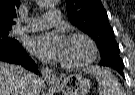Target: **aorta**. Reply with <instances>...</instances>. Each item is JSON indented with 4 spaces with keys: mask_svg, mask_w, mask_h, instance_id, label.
<instances>
[{
    "mask_svg": "<svg viewBox=\"0 0 135 95\" xmlns=\"http://www.w3.org/2000/svg\"><path fill=\"white\" fill-rule=\"evenodd\" d=\"M56 0H39L40 6L50 7L55 4Z\"/></svg>",
    "mask_w": 135,
    "mask_h": 95,
    "instance_id": "762f6f07",
    "label": "aorta"
}]
</instances>
